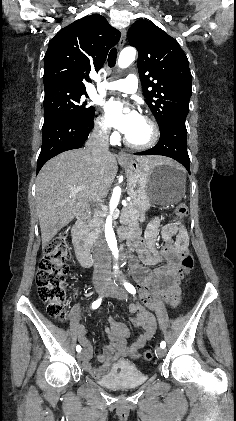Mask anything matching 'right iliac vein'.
Listing matches in <instances>:
<instances>
[{"label":"right iliac vein","instance_id":"1","mask_svg":"<svg viewBox=\"0 0 236 421\" xmlns=\"http://www.w3.org/2000/svg\"><path fill=\"white\" fill-rule=\"evenodd\" d=\"M105 283V279H100L97 283H96V289L99 295L102 294L103 292V285ZM85 356V350H82L80 353L77 354V359L78 361L83 360Z\"/></svg>","mask_w":236,"mask_h":421}]
</instances>
